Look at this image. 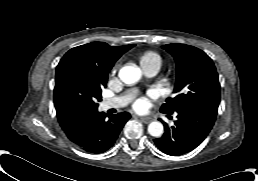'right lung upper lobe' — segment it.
Segmentation results:
<instances>
[{
	"mask_svg": "<svg viewBox=\"0 0 258 181\" xmlns=\"http://www.w3.org/2000/svg\"><path fill=\"white\" fill-rule=\"evenodd\" d=\"M133 46L134 44L115 47L104 42H92L69 50L60 63L68 59H76L95 77L107 80L114 63Z\"/></svg>",
	"mask_w": 258,
	"mask_h": 181,
	"instance_id": "right-lung-upper-lobe-1",
	"label": "right lung upper lobe"
}]
</instances>
